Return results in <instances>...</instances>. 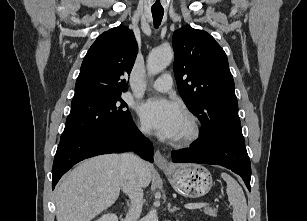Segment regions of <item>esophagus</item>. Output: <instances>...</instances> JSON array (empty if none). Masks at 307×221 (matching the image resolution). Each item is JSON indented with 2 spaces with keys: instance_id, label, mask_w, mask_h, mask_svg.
<instances>
[{
  "instance_id": "34e87169",
  "label": "esophagus",
  "mask_w": 307,
  "mask_h": 221,
  "mask_svg": "<svg viewBox=\"0 0 307 221\" xmlns=\"http://www.w3.org/2000/svg\"><path fill=\"white\" fill-rule=\"evenodd\" d=\"M154 162L160 168H169L171 164L169 161L157 150L154 154Z\"/></svg>"
}]
</instances>
